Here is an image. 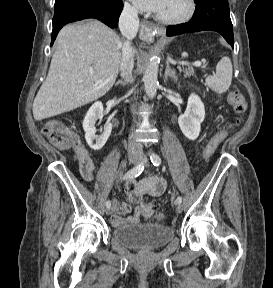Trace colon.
<instances>
[{
	"instance_id": "1",
	"label": "colon",
	"mask_w": 273,
	"mask_h": 288,
	"mask_svg": "<svg viewBox=\"0 0 273 288\" xmlns=\"http://www.w3.org/2000/svg\"><path fill=\"white\" fill-rule=\"evenodd\" d=\"M227 101L232 106L237 116L243 115L247 110V103L244 96L237 89L231 90L227 95ZM239 119H236V123ZM232 125L218 129L207 141L203 156L209 158L216 151L218 146L227 137ZM43 133L49 141L59 149H68L78 141L76 134L66 127L59 120H50L43 127ZM141 209L145 216L150 217L155 212V207L150 203H143Z\"/></svg>"
}]
</instances>
